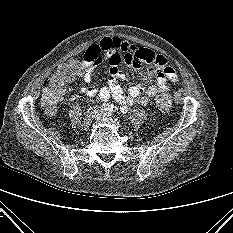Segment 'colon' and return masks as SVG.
<instances>
[{"label": "colon", "instance_id": "obj_1", "mask_svg": "<svg viewBox=\"0 0 233 233\" xmlns=\"http://www.w3.org/2000/svg\"><path fill=\"white\" fill-rule=\"evenodd\" d=\"M85 68L86 62L84 59L70 60L61 64L45 82L41 105L47 114H53L56 111L65 83L72 81L76 76L82 75ZM155 104L159 112L166 113L171 109L172 98L169 94L161 92L157 95Z\"/></svg>", "mask_w": 233, "mask_h": 233}]
</instances>
